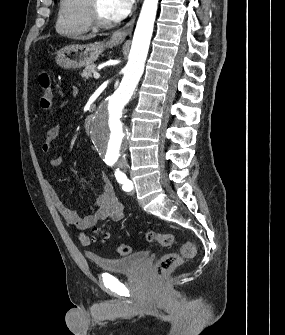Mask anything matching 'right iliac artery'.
<instances>
[{
	"mask_svg": "<svg viewBox=\"0 0 285 335\" xmlns=\"http://www.w3.org/2000/svg\"><path fill=\"white\" fill-rule=\"evenodd\" d=\"M108 165L112 166L114 162H107Z\"/></svg>",
	"mask_w": 285,
	"mask_h": 335,
	"instance_id": "right-iliac-artery-1",
	"label": "right iliac artery"
}]
</instances>
